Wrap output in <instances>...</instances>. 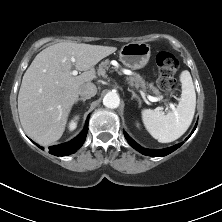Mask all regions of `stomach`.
I'll return each instance as SVG.
<instances>
[{
  "label": "stomach",
  "instance_id": "1",
  "mask_svg": "<svg viewBox=\"0 0 222 222\" xmlns=\"http://www.w3.org/2000/svg\"><path fill=\"white\" fill-rule=\"evenodd\" d=\"M151 47L145 42H131L124 45L119 51L120 61L128 68L140 69L150 58Z\"/></svg>",
  "mask_w": 222,
  "mask_h": 222
}]
</instances>
